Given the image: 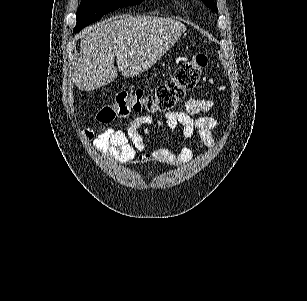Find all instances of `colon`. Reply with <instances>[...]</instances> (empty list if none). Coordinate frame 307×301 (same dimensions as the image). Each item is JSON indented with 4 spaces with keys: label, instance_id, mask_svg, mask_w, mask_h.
Wrapping results in <instances>:
<instances>
[{
    "label": "colon",
    "instance_id": "colon-1",
    "mask_svg": "<svg viewBox=\"0 0 307 301\" xmlns=\"http://www.w3.org/2000/svg\"><path fill=\"white\" fill-rule=\"evenodd\" d=\"M208 63L206 54L199 52L183 62L153 94L143 90L132 93L119 91L112 102L103 105L97 112L96 119L101 123H110L132 113L166 112L172 109L185 94L192 90L201 78Z\"/></svg>",
    "mask_w": 307,
    "mask_h": 301
}]
</instances>
